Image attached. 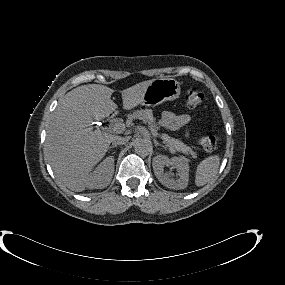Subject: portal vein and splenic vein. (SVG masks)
<instances>
[{
  "label": "portal vein and splenic vein",
  "instance_id": "18ae733b",
  "mask_svg": "<svg viewBox=\"0 0 285 285\" xmlns=\"http://www.w3.org/2000/svg\"><path fill=\"white\" fill-rule=\"evenodd\" d=\"M124 129H125V124L120 122L116 123L112 128V130L115 132H122Z\"/></svg>",
  "mask_w": 285,
  "mask_h": 285
}]
</instances>
